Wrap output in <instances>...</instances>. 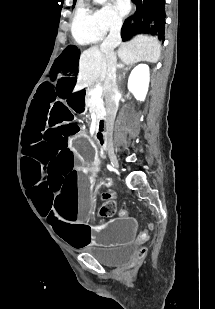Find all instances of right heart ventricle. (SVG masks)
I'll return each mask as SVG.
<instances>
[{
	"mask_svg": "<svg viewBox=\"0 0 215 309\" xmlns=\"http://www.w3.org/2000/svg\"><path fill=\"white\" fill-rule=\"evenodd\" d=\"M72 24L73 40L80 45L87 42H97L98 38H100V34L104 32L103 27H96L97 19H94L93 14H77Z\"/></svg>",
	"mask_w": 215,
	"mask_h": 309,
	"instance_id": "e07e8e85",
	"label": "right heart ventricle"
}]
</instances>
